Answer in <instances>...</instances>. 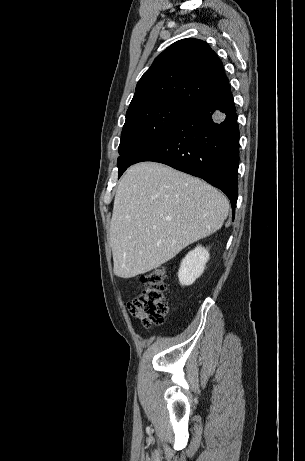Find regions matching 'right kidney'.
I'll use <instances>...</instances> for the list:
<instances>
[{"mask_svg": "<svg viewBox=\"0 0 305 461\" xmlns=\"http://www.w3.org/2000/svg\"><path fill=\"white\" fill-rule=\"evenodd\" d=\"M209 260V252L202 246H197L182 260L178 278L182 286L192 285L199 278Z\"/></svg>", "mask_w": 305, "mask_h": 461, "instance_id": "ca27d5eb", "label": "right kidney"}]
</instances>
